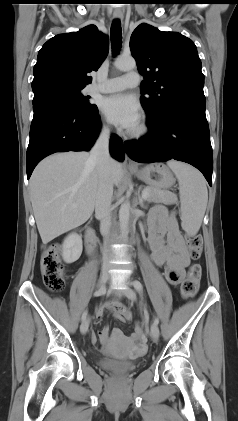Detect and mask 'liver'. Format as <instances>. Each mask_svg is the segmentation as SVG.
I'll use <instances>...</instances> for the list:
<instances>
[{"label":"liver","instance_id":"obj_1","mask_svg":"<svg viewBox=\"0 0 238 421\" xmlns=\"http://www.w3.org/2000/svg\"><path fill=\"white\" fill-rule=\"evenodd\" d=\"M88 152H65L42 160L30 178L32 208L42 242L85 223L93 214L98 172ZM122 164L110 158V181L118 186Z\"/></svg>","mask_w":238,"mask_h":421}]
</instances>
